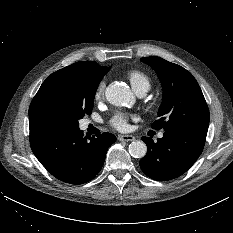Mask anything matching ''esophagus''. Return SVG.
I'll list each match as a JSON object with an SVG mask.
<instances>
[{"instance_id":"esophagus-1","label":"esophagus","mask_w":233,"mask_h":233,"mask_svg":"<svg viewBox=\"0 0 233 233\" xmlns=\"http://www.w3.org/2000/svg\"><path fill=\"white\" fill-rule=\"evenodd\" d=\"M118 140L124 142H130V141H134L135 137L132 135H119Z\"/></svg>"}]
</instances>
